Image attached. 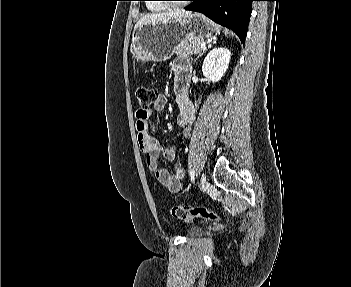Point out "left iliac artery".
Returning a JSON list of instances; mask_svg holds the SVG:
<instances>
[{
	"mask_svg": "<svg viewBox=\"0 0 351 287\" xmlns=\"http://www.w3.org/2000/svg\"><path fill=\"white\" fill-rule=\"evenodd\" d=\"M190 177H191V181L194 182V180H195V171L194 170H192L190 172Z\"/></svg>",
	"mask_w": 351,
	"mask_h": 287,
	"instance_id": "44dca946",
	"label": "left iliac artery"
}]
</instances>
